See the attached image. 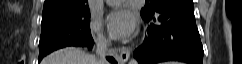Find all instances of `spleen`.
<instances>
[{"label": "spleen", "mask_w": 242, "mask_h": 64, "mask_svg": "<svg viewBox=\"0 0 242 64\" xmlns=\"http://www.w3.org/2000/svg\"><path fill=\"white\" fill-rule=\"evenodd\" d=\"M166 64H179L177 62H169V63H166Z\"/></svg>", "instance_id": "spleen-1"}]
</instances>
